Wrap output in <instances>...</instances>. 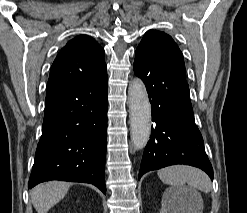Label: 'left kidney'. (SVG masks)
<instances>
[{
    "instance_id": "left-kidney-1",
    "label": "left kidney",
    "mask_w": 247,
    "mask_h": 213,
    "mask_svg": "<svg viewBox=\"0 0 247 213\" xmlns=\"http://www.w3.org/2000/svg\"><path fill=\"white\" fill-rule=\"evenodd\" d=\"M178 195L179 192L175 190H167L162 198V207L160 213H185V209L182 208V203H180V197ZM186 206L189 208L190 204L186 203ZM188 210H191V208H189Z\"/></svg>"
}]
</instances>
